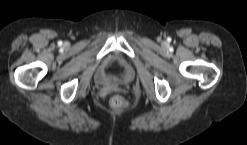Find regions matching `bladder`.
<instances>
[{"label": "bladder", "mask_w": 247, "mask_h": 145, "mask_svg": "<svg viewBox=\"0 0 247 145\" xmlns=\"http://www.w3.org/2000/svg\"><path fill=\"white\" fill-rule=\"evenodd\" d=\"M131 79H132V75H131V73H130V74L125 78V82L128 83V82L131 81ZM97 82H98V84H100V85H104V84H107V83H108V80H107L104 76L99 75V76H98V79H97Z\"/></svg>", "instance_id": "1"}]
</instances>
